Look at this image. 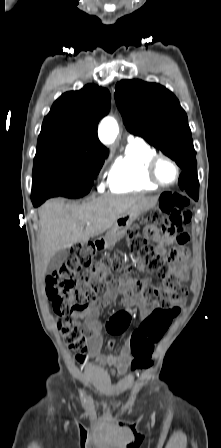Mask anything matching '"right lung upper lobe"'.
<instances>
[{
    "label": "right lung upper lobe",
    "instance_id": "right-lung-upper-lobe-1",
    "mask_svg": "<svg viewBox=\"0 0 221 448\" xmlns=\"http://www.w3.org/2000/svg\"><path fill=\"white\" fill-rule=\"evenodd\" d=\"M111 96L107 89L88 84L59 97L44 118L37 149L72 146L93 153H108L97 136L99 120L108 114Z\"/></svg>",
    "mask_w": 221,
    "mask_h": 448
}]
</instances>
